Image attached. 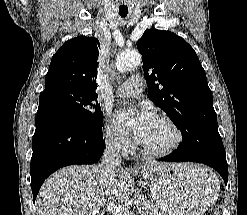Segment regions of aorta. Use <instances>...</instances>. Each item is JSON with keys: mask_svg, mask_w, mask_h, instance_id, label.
I'll return each instance as SVG.
<instances>
[{"mask_svg": "<svg viewBox=\"0 0 247 215\" xmlns=\"http://www.w3.org/2000/svg\"><path fill=\"white\" fill-rule=\"evenodd\" d=\"M141 55L138 52H123L116 59V68L119 72H126L140 65Z\"/></svg>", "mask_w": 247, "mask_h": 215, "instance_id": "762f6f07", "label": "aorta"}]
</instances>
